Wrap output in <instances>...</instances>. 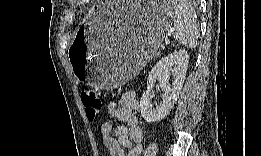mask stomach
Instances as JSON below:
<instances>
[{"label":"stomach","instance_id":"stomach-1","mask_svg":"<svg viewBox=\"0 0 261 156\" xmlns=\"http://www.w3.org/2000/svg\"><path fill=\"white\" fill-rule=\"evenodd\" d=\"M171 16L166 2L106 1L94 7L69 51L77 80L106 89L132 79L155 56Z\"/></svg>","mask_w":261,"mask_h":156}]
</instances>
